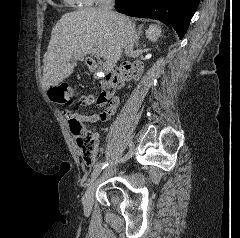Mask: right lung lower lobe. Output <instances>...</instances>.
Instances as JSON below:
<instances>
[{
	"label": "right lung lower lobe",
	"instance_id": "right-lung-lower-lobe-1",
	"mask_svg": "<svg viewBox=\"0 0 240 238\" xmlns=\"http://www.w3.org/2000/svg\"><path fill=\"white\" fill-rule=\"evenodd\" d=\"M200 0H116L118 12L134 17L157 19L172 26L182 38Z\"/></svg>",
	"mask_w": 240,
	"mask_h": 238
}]
</instances>
